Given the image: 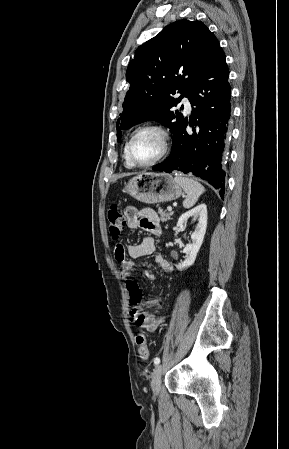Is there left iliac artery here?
<instances>
[{"label": "left iliac artery", "mask_w": 289, "mask_h": 449, "mask_svg": "<svg viewBox=\"0 0 289 449\" xmlns=\"http://www.w3.org/2000/svg\"><path fill=\"white\" fill-rule=\"evenodd\" d=\"M160 363V358L159 357H156L155 359H154V364L155 365H158Z\"/></svg>", "instance_id": "obj_1"}]
</instances>
